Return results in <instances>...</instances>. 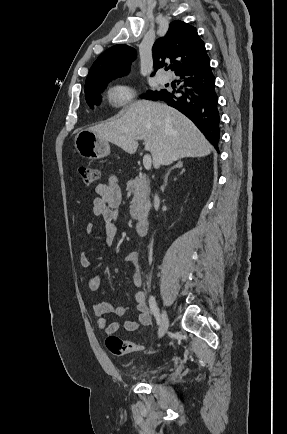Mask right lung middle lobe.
<instances>
[{"mask_svg": "<svg viewBox=\"0 0 287 434\" xmlns=\"http://www.w3.org/2000/svg\"><path fill=\"white\" fill-rule=\"evenodd\" d=\"M111 80L112 79H108V80L99 81V82L85 85V98H86L88 105L91 108H93L94 105L99 104V102L101 100L100 93L107 86V83L110 82ZM151 93L152 92H147L145 97H147Z\"/></svg>", "mask_w": 287, "mask_h": 434, "instance_id": "dd1d6c3e", "label": "right lung middle lobe"}]
</instances>
